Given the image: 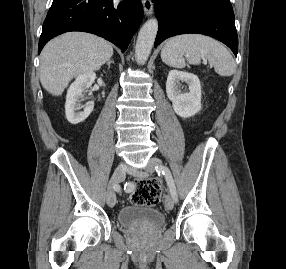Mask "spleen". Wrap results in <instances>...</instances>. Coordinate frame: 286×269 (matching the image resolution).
<instances>
[{
    "mask_svg": "<svg viewBox=\"0 0 286 269\" xmlns=\"http://www.w3.org/2000/svg\"><path fill=\"white\" fill-rule=\"evenodd\" d=\"M188 63L198 65L207 59L220 76H230L235 62L227 48L215 39L198 34L178 35L170 38L161 50L162 61L174 68H184Z\"/></svg>",
    "mask_w": 286,
    "mask_h": 269,
    "instance_id": "obj_1",
    "label": "spleen"
}]
</instances>
